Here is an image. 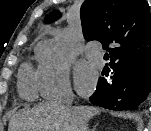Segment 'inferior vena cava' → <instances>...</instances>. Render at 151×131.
<instances>
[{"label": "inferior vena cava", "instance_id": "obj_1", "mask_svg": "<svg viewBox=\"0 0 151 131\" xmlns=\"http://www.w3.org/2000/svg\"><path fill=\"white\" fill-rule=\"evenodd\" d=\"M59 106H67V105H70L71 104V100L68 98V97H62V98H59L56 102Z\"/></svg>", "mask_w": 151, "mask_h": 131}]
</instances>
